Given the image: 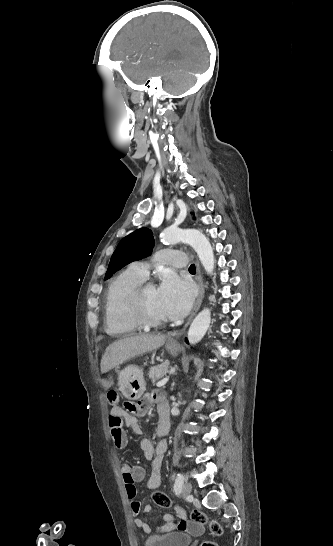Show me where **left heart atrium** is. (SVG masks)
I'll list each match as a JSON object with an SVG mask.
<instances>
[{"mask_svg": "<svg viewBox=\"0 0 333 546\" xmlns=\"http://www.w3.org/2000/svg\"><path fill=\"white\" fill-rule=\"evenodd\" d=\"M161 309L166 318L178 319L191 308L194 291L191 284L173 272H165L157 289Z\"/></svg>", "mask_w": 333, "mask_h": 546, "instance_id": "left-heart-atrium-1", "label": "left heart atrium"}]
</instances>
